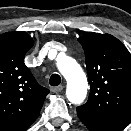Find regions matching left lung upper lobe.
I'll list each match as a JSON object with an SVG mask.
<instances>
[{
    "label": "left lung upper lobe",
    "instance_id": "obj_1",
    "mask_svg": "<svg viewBox=\"0 0 131 131\" xmlns=\"http://www.w3.org/2000/svg\"><path fill=\"white\" fill-rule=\"evenodd\" d=\"M82 45L90 95L77 115L90 131H121L131 122V54L114 36L88 32Z\"/></svg>",
    "mask_w": 131,
    "mask_h": 131
}]
</instances>
